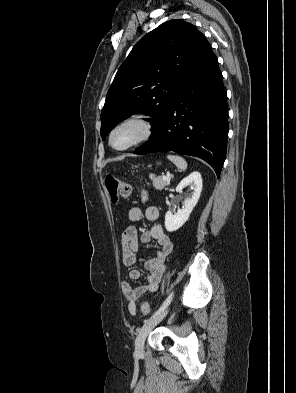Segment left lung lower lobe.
Masks as SVG:
<instances>
[{
	"label": "left lung lower lobe",
	"mask_w": 296,
	"mask_h": 393,
	"mask_svg": "<svg viewBox=\"0 0 296 393\" xmlns=\"http://www.w3.org/2000/svg\"><path fill=\"white\" fill-rule=\"evenodd\" d=\"M227 95L212 53L172 103L155 133L135 154L173 151L209 163L219 177L227 151Z\"/></svg>",
	"instance_id": "obj_1"
}]
</instances>
